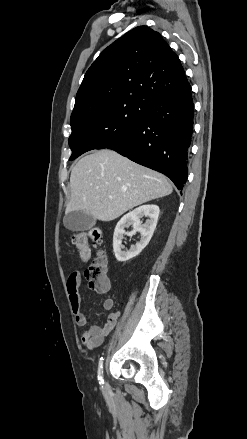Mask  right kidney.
Wrapping results in <instances>:
<instances>
[{"label": "right kidney", "instance_id": "1", "mask_svg": "<svg viewBox=\"0 0 247 439\" xmlns=\"http://www.w3.org/2000/svg\"><path fill=\"white\" fill-rule=\"evenodd\" d=\"M157 205H143L124 215L117 223L113 235V251L117 261L126 262L136 257L149 243L157 225L159 216ZM148 217L145 224L140 221L143 217ZM133 227L131 232H126L125 228ZM136 232L141 234V239L136 245L131 246L130 250H122V240L124 235L132 237Z\"/></svg>", "mask_w": 247, "mask_h": 439}]
</instances>
